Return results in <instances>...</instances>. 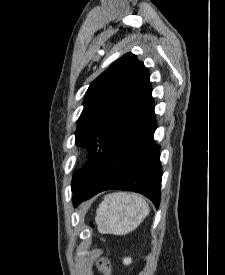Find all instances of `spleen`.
<instances>
[{
  "label": "spleen",
  "mask_w": 225,
  "mask_h": 275,
  "mask_svg": "<svg viewBox=\"0 0 225 275\" xmlns=\"http://www.w3.org/2000/svg\"><path fill=\"white\" fill-rule=\"evenodd\" d=\"M149 214L146 201L126 192L108 194L96 212V224L101 234L126 235L135 230Z\"/></svg>",
  "instance_id": "spleen-1"
}]
</instances>
